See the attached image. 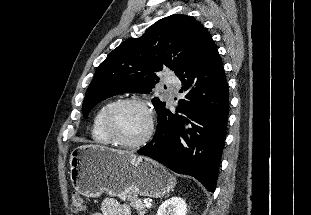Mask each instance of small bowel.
<instances>
[{"instance_id":"small-bowel-1","label":"small bowel","mask_w":311,"mask_h":215,"mask_svg":"<svg viewBox=\"0 0 311 215\" xmlns=\"http://www.w3.org/2000/svg\"><path fill=\"white\" fill-rule=\"evenodd\" d=\"M92 215H131L130 207L126 204L118 202L114 198H106L101 205L99 212Z\"/></svg>"}]
</instances>
